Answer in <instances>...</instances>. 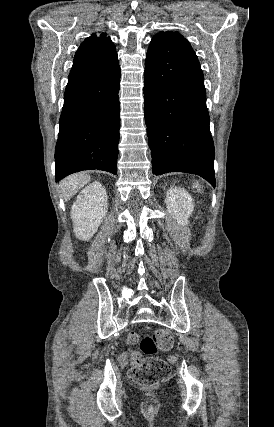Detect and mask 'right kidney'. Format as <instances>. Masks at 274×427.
<instances>
[{"label": "right kidney", "instance_id": "right-kidney-1", "mask_svg": "<svg viewBox=\"0 0 274 427\" xmlns=\"http://www.w3.org/2000/svg\"><path fill=\"white\" fill-rule=\"evenodd\" d=\"M107 210L108 196L100 182H93L81 190L70 212L76 237L83 241L93 237Z\"/></svg>", "mask_w": 274, "mask_h": 427}]
</instances>
